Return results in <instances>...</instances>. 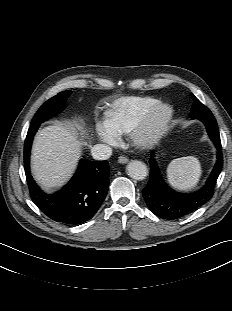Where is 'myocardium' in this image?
I'll use <instances>...</instances> for the list:
<instances>
[{
	"mask_svg": "<svg viewBox=\"0 0 232 311\" xmlns=\"http://www.w3.org/2000/svg\"><path fill=\"white\" fill-rule=\"evenodd\" d=\"M173 116L172 107L158 102L149 108L130 131L133 144L146 147L153 144L165 131Z\"/></svg>",
	"mask_w": 232,
	"mask_h": 311,
	"instance_id": "1",
	"label": "myocardium"
}]
</instances>
